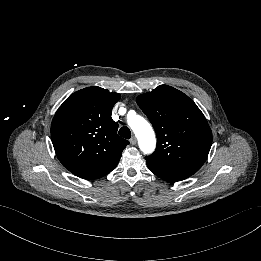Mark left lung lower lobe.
I'll return each instance as SVG.
<instances>
[{
	"mask_svg": "<svg viewBox=\"0 0 261 261\" xmlns=\"http://www.w3.org/2000/svg\"><path fill=\"white\" fill-rule=\"evenodd\" d=\"M146 163H147L149 170L152 173H154L159 178H161L165 181H168V182L182 181V180L188 178L189 176H191V175L186 174L184 172L168 169V168L157 165V164L152 163V162L147 161V160H146Z\"/></svg>",
	"mask_w": 261,
	"mask_h": 261,
	"instance_id": "obj_1",
	"label": "left lung lower lobe"
}]
</instances>
